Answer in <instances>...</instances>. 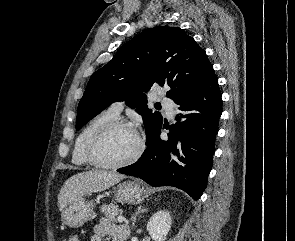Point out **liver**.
<instances>
[{"mask_svg": "<svg viewBox=\"0 0 295 241\" xmlns=\"http://www.w3.org/2000/svg\"><path fill=\"white\" fill-rule=\"evenodd\" d=\"M125 176L122 174L93 170L73 175L63 184L58 194V207L63 211L68 205L91 193L102 192L118 183Z\"/></svg>", "mask_w": 295, "mask_h": 241, "instance_id": "6515ba94", "label": "liver"}]
</instances>
